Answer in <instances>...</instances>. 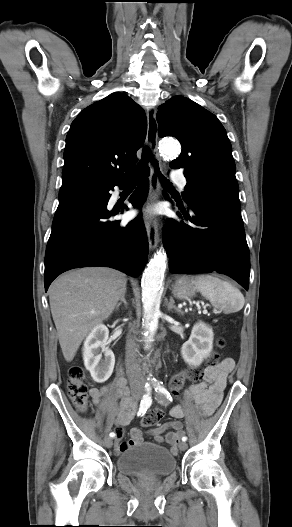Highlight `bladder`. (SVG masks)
Segmentation results:
<instances>
[{"label": "bladder", "instance_id": "1", "mask_svg": "<svg viewBox=\"0 0 292 527\" xmlns=\"http://www.w3.org/2000/svg\"><path fill=\"white\" fill-rule=\"evenodd\" d=\"M116 468L128 476L159 478L174 472L176 458L165 446L143 442L122 451L116 459Z\"/></svg>", "mask_w": 292, "mask_h": 527}]
</instances>
